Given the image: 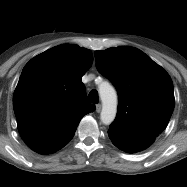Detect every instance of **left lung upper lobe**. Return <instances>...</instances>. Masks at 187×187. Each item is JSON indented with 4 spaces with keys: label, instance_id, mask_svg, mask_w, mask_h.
I'll return each instance as SVG.
<instances>
[{
    "label": "left lung upper lobe",
    "instance_id": "left-lung-upper-lobe-1",
    "mask_svg": "<svg viewBox=\"0 0 187 187\" xmlns=\"http://www.w3.org/2000/svg\"><path fill=\"white\" fill-rule=\"evenodd\" d=\"M94 54L98 71L118 93L117 116L108 133L132 136L127 138L129 144H152L166 128L174 109L170 76L136 48H110Z\"/></svg>",
    "mask_w": 187,
    "mask_h": 187
}]
</instances>
